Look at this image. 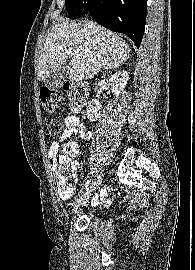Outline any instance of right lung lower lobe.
Instances as JSON below:
<instances>
[{"mask_svg": "<svg viewBox=\"0 0 195 270\" xmlns=\"http://www.w3.org/2000/svg\"><path fill=\"white\" fill-rule=\"evenodd\" d=\"M89 13L100 25L126 34L137 48L145 30L147 0H88Z\"/></svg>", "mask_w": 195, "mask_h": 270, "instance_id": "right-lung-lower-lobe-1", "label": "right lung lower lobe"}]
</instances>
